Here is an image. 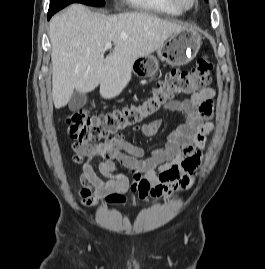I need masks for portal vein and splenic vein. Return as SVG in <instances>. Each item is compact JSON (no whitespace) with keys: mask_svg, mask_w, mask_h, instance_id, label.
<instances>
[{"mask_svg":"<svg viewBox=\"0 0 265 269\" xmlns=\"http://www.w3.org/2000/svg\"><path fill=\"white\" fill-rule=\"evenodd\" d=\"M108 49H112V44H111V42H109V43H106L105 44V46H104V50H108Z\"/></svg>","mask_w":265,"mask_h":269,"instance_id":"portal-vein-and-splenic-vein-1","label":"portal vein and splenic vein"}]
</instances>
